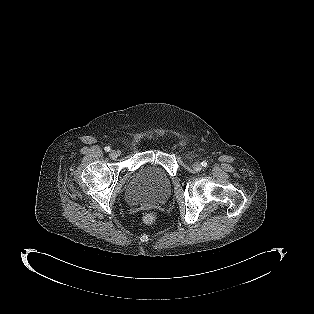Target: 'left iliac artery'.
I'll use <instances>...</instances> for the list:
<instances>
[{
    "instance_id": "obj_1",
    "label": "left iliac artery",
    "mask_w": 314,
    "mask_h": 314,
    "mask_svg": "<svg viewBox=\"0 0 314 314\" xmlns=\"http://www.w3.org/2000/svg\"><path fill=\"white\" fill-rule=\"evenodd\" d=\"M201 164H202V166L207 167V162L206 161H203Z\"/></svg>"
}]
</instances>
